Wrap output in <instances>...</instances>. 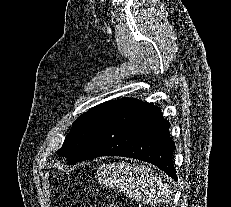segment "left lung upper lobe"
Returning <instances> with one entry per match:
<instances>
[{"instance_id": "obj_1", "label": "left lung upper lobe", "mask_w": 231, "mask_h": 207, "mask_svg": "<svg viewBox=\"0 0 231 207\" xmlns=\"http://www.w3.org/2000/svg\"><path fill=\"white\" fill-rule=\"evenodd\" d=\"M127 100L129 98L107 101L82 114L74 121L58 153L66 156L70 165L77 163L108 118Z\"/></svg>"}]
</instances>
